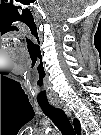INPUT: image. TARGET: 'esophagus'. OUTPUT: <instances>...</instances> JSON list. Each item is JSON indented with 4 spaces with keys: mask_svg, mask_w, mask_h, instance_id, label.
I'll use <instances>...</instances> for the list:
<instances>
[{
    "mask_svg": "<svg viewBox=\"0 0 101 135\" xmlns=\"http://www.w3.org/2000/svg\"><path fill=\"white\" fill-rule=\"evenodd\" d=\"M52 104L58 108L63 109L68 116L70 117L72 116L70 108L67 106V104L64 101L56 100L53 101Z\"/></svg>",
    "mask_w": 101,
    "mask_h": 135,
    "instance_id": "esophagus-1",
    "label": "esophagus"
}]
</instances>
